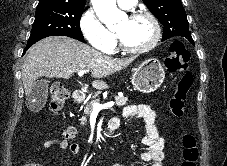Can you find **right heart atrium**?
I'll return each instance as SVG.
<instances>
[{"instance_id":"right-heart-atrium-1","label":"right heart atrium","mask_w":227,"mask_h":166,"mask_svg":"<svg viewBox=\"0 0 227 166\" xmlns=\"http://www.w3.org/2000/svg\"><path fill=\"white\" fill-rule=\"evenodd\" d=\"M79 29L93 48L105 52L112 50L114 36L91 8L86 9L82 13L79 19Z\"/></svg>"}]
</instances>
